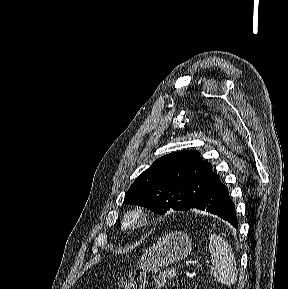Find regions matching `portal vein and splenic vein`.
I'll list each match as a JSON object with an SVG mask.
<instances>
[{"instance_id": "18ae733b", "label": "portal vein and splenic vein", "mask_w": 288, "mask_h": 289, "mask_svg": "<svg viewBox=\"0 0 288 289\" xmlns=\"http://www.w3.org/2000/svg\"><path fill=\"white\" fill-rule=\"evenodd\" d=\"M186 265H187V266L189 265V262H188V261L186 262ZM207 267H209L210 269L212 268L211 265H207ZM170 275H171V274H170Z\"/></svg>"}]
</instances>
